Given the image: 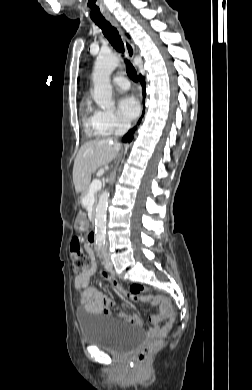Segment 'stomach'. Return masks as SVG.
Here are the masks:
<instances>
[{
  "label": "stomach",
  "instance_id": "stomach-1",
  "mask_svg": "<svg viewBox=\"0 0 252 390\" xmlns=\"http://www.w3.org/2000/svg\"><path fill=\"white\" fill-rule=\"evenodd\" d=\"M75 228L78 231H82L85 229V220L83 217L78 218Z\"/></svg>",
  "mask_w": 252,
  "mask_h": 390
}]
</instances>
